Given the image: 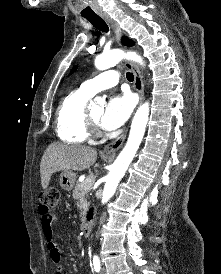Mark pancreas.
Segmentation results:
<instances>
[{
  "mask_svg": "<svg viewBox=\"0 0 221 274\" xmlns=\"http://www.w3.org/2000/svg\"><path fill=\"white\" fill-rule=\"evenodd\" d=\"M86 183H87V179L83 181L82 183H77L73 191V198L77 200V207L80 208L82 216L85 215V212L88 207V203L86 199V194L88 190L84 189V186L86 185Z\"/></svg>",
  "mask_w": 221,
  "mask_h": 274,
  "instance_id": "obj_1",
  "label": "pancreas"
}]
</instances>
